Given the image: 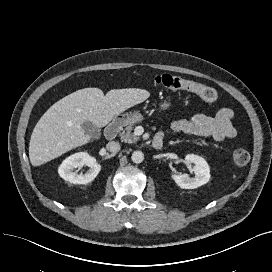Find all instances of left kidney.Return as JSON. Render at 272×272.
<instances>
[{
  "label": "left kidney",
  "instance_id": "obj_1",
  "mask_svg": "<svg viewBox=\"0 0 272 272\" xmlns=\"http://www.w3.org/2000/svg\"><path fill=\"white\" fill-rule=\"evenodd\" d=\"M187 163L194 164V177H190L188 174H172L171 178L175 183L183 189H195L210 180V168L204 158L195 154H187L185 156Z\"/></svg>",
  "mask_w": 272,
  "mask_h": 272
}]
</instances>
